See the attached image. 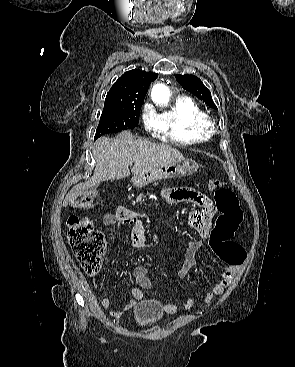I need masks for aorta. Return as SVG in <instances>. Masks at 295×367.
I'll list each match as a JSON object with an SVG mask.
<instances>
[{
    "label": "aorta",
    "mask_w": 295,
    "mask_h": 367,
    "mask_svg": "<svg viewBox=\"0 0 295 367\" xmlns=\"http://www.w3.org/2000/svg\"><path fill=\"white\" fill-rule=\"evenodd\" d=\"M152 99L157 104H167L169 101V91L167 87L162 84H157L152 90Z\"/></svg>",
    "instance_id": "obj_1"
}]
</instances>
